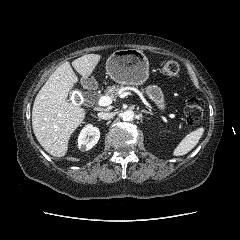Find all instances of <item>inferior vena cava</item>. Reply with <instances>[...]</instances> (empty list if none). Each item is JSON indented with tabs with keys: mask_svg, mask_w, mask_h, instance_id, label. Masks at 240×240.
<instances>
[{
	"mask_svg": "<svg viewBox=\"0 0 240 240\" xmlns=\"http://www.w3.org/2000/svg\"><path fill=\"white\" fill-rule=\"evenodd\" d=\"M98 116L101 119L109 120L114 116V113H112V112H100V113H98Z\"/></svg>",
	"mask_w": 240,
	"mask_h": 240,
	"instance_id": "1",
	"label": "inferior vena cava"
}]
</instances>
